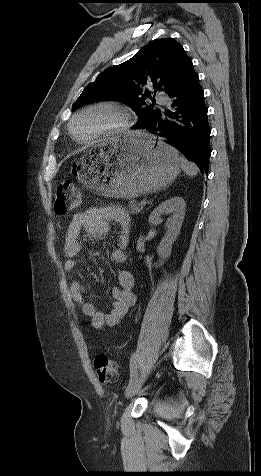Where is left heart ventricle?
Returning a JSON list of instances; mask_svg holds the SVG:
<instances>
[{
	"instance_id": "obj_1",
	"label": "left heart ventricle",
	"mask_w": 261,
	"mask_h": 476,
	"mask_svg": "<svg viewBox=\"0 0 261 476\" xmlns=\"http://www.w3.org/2000/svg\"><path fill=\"white\" fill-rule=\"evenodd\" d=\"M117 120L118 117L113 111L100 109L79 117L73 125V130L78 139L85 140L114 125Z\"/></svg>"
}]
</instances>
